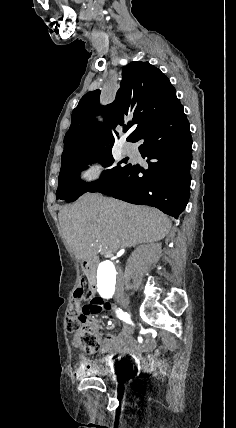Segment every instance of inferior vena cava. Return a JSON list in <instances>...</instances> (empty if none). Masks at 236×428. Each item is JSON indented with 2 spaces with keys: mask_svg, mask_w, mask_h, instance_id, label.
Segmentation results:
<instances>
[{
  "mask_svg": "<svg viewBox=\"0 0 236 428\" xmlns=\"http://www.w3.org/2000/svg\"><path fill=\"white\" fill-rule=\"evenodd\" d=\"M120 272H118L117 273V282H118V286H117V289H116V292H115V295H116V297H118V298H122V297H124L125 296V291H124V270L121 268L120 270H119Z\"/></svg>",
  "mask_w": 236,
  "mask_h": 428,
  "instance_id": "1",
  "label": "inferior vena cava"
}]
</instances>
